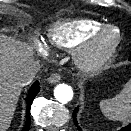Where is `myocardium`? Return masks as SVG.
<instances>
[{
	"label": "myocardium",
	"mask_w": 131,
	"mask_h": 131,
	"mask_svg": "<svg viewBox=\"0 0 131 131\" xmlns=\"http://www.w3.org/2000/svg\"><path fill=\"white\" fill-rule=\"evenodd\" d=\"M108 32H114L115 38L108 47L102 48L101 40ZM121 42L120 28L113 24H104L76 46L73 51L75 63L84 71L98 70L113 59Z\"/></svg>",
	"instance_id": "1"
}]
</instances>
